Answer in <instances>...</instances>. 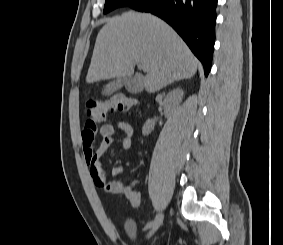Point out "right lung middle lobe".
<instances>
[{"label": "right lung middle lobe", "mask_w": 283, "mask_h": 245, "mask_svg": "<svg viewBox=\"0 0 283 245\" xmlns=\"http://www.w3.org/2000/svg\"><path fill=\"white\" fill-rule=\"evenodd\" d=\"M140 0H106L103 13H108L113 9L123 6H133Z\"/></svg>", "instance_id": "right-lung-middle-lobe-1"}]
</instances>
